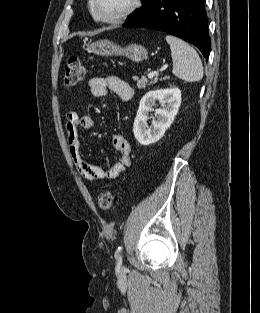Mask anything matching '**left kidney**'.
Wrapping results in <instances>:
<instances>
[{
	"instance_id": "obj_1",
	"label": "left kidney",
	"mask_w": 260,
	"mask_h": 313,
	"mask_svg": "<svg viewBox=\"0 0 260 313\" xmlns=\"http://www.w3.org/2000/svg\"><path fill=\"white\" fill-rule=\"evenodd\" d=\"M156 101L161 103L162 108L155 110L156 119H153L152 127L148 128V115ZM180 104L181 91L178 88L161 89L146 93L140 101L133 125L136 140L144 146L160 140L165 131L171 126Z\"/></svg>"
}]
</instances>
